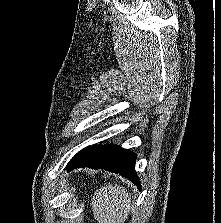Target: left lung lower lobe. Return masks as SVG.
I'll return each instance as SVG.
<instances>
[{
    "label": "left lung lower lobe",
    "mask_w": 221,
    "mask_h": 223,
    "mask_svg": "<svg viewBox=\"0 0 221 223\" xmlns=\"http://www.w3.org/2000/svg\"><path fill=\"white\" fill-rule=\"evenodd\" d=\"M136 155L118 146H92L84 150L67 166V171L79 167L105 169L119 173L140 188V181L135 172Z\"/></svg>",
    "instance_id": "left-lung-lower-lobe-1"
}]
</instances>
